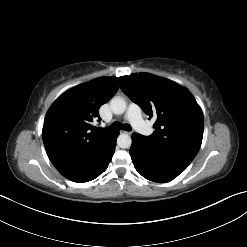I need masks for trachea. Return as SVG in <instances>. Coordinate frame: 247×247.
Returning <instances> with one entry per match:
<instances>
[{"instance_id":"obj_1","label":"trachea","mask_w":247,"mask_h":247,"mask_svg":"<svg viewBox=\"0 0 247 247\" xmlns=\"http://www.w3.org/2000/svg\"><path fill=\"white\" fill-rule=\"evenodd\" d=\"M121 129H123L125 131H131L132 127L129 124L123 125L120 122H115L104 130L117 131V130H121Z\"/></svg>"}]
</instances>
